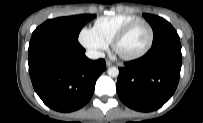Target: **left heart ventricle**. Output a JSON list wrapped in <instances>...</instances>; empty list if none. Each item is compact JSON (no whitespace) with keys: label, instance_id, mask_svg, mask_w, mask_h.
Wrapping results in <instances>:
<instances>
[{"label":"left heart ventricle","instance_id":"b2bd125f","mask_svg":"<svg viewBox=\"0 0 203 123\" xmlns=\"http://www.w3.org/2000/svg\"><path fill=\"white\" fill-rule=\"evenodd\" d=\"M149 39V30L146 25H136L121 41L119 50L124 54H133L141 51Z\"/></svg>","mask_w":203,"mask_h":123}]
</instances>
